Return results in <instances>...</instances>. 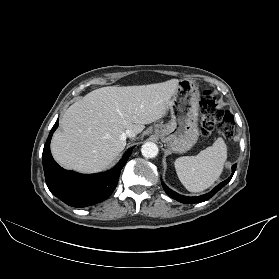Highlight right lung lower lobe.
<instances>
[{"instance_id": "right-lung-lower-lobe-1", "label": "right lung lower lobe", "mask_w": 279, "mask_h": 279, "mask_svg": "<svg viewBox=\"0 0 279 279\" xmlns=\"http://www.w3.org/2000/svg\"><path fill=\"white\" fill-rule=\"evenodd\" d=\"M57 121L44 146L42 161L47 186L51 193L69 206L86 207L107 199L117 186L119 174L132 153L130 148L119 163L105 173L82 175L65 170L53 159L50 141L57 129Z\"/></svg>"}]
</instances>
